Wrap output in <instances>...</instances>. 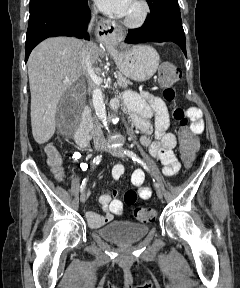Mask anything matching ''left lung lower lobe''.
I'll return each instance as SVG.
<instances>
[{"mask_svg":"<svg viewBox=\"0 0 240 288\" xmlns=\"http://www.w3.org/2000/svg\"><path fill=\"white\" fill-rule=\"evenodd\" d=\"M150 11V16L141 28L128 30L125 42L136 44L172 41L180 46L187 57L185 34L178 2L157 0Z\"/></svg>","mask_w":240,"mask_h":288,"instance_id":"obj_1","label":"left lung lower lobe"}]
</instances>
